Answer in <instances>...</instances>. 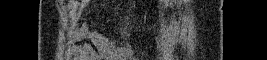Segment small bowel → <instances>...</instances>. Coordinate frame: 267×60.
Instances as JSON below:
<instances>
[{
    "instance_id": "c3829d8e",
    "label": "small bowel",
    "mask_w": 267,
    "mask_h": 60,
    "mask_svg": "<svg viewBox=\"0 0 267 60\" xmlns=\"http://www.w3.org/2000/svg\"><path fill=\"white\" fill-rule=\"evenodd\" d=\"M73 38H87L94 44H100L107 40L106 36L93 30L87 23L82 24L80 29L76 33H74Z\"/></svg>"
}]
</instances>
